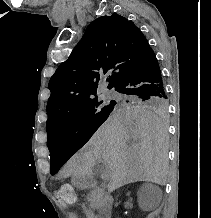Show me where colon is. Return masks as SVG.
I'll return each instance as SVG.
<instances>
[{
    "instance_id": "obj_1",
    "label": "colon",
    "mask_w": 211,
    "mask_h": 218,
    "mask_svg": "<svg viewBox=\"0 0 211 218\" xmlns=\"http://www.w3.org/2000/svg\"><path fill=\"white\" fill-rule=\"evenodd\" d=\"M56 197L64 204H72L76 199L74 190L70 184H62L57 190Z\"/></svg>"
}]
</instances>
